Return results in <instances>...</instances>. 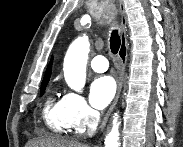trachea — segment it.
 Segmentation results:
<instances>
[{
    "label": "trachea",
    "mask_w": 183,
    "mask_h": 147,
    "mask_svg": "<svg viewBox=\"0 0 183 147\" xmlns=\"http://www.w3.org/2000/svg\"><path fill=\"white\" fill-rule=\"evenodd\" d=\"M120 46H121V40H120V37L118 35V30L115 29V30L112 31L111 37H110L111 52L113 54H117L118 51H119Z\"/></svg>",
    "instance_id": "3493384b"
}]
</instances>
